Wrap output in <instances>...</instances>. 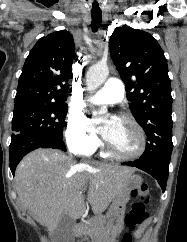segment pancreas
Here are the masks:
<instances>
[{
  "instance_id": "pancreas-1",
  "label": "pancreas",
  "mask_w": 187,
  "mask_h": 242,
  "mask_svg": "<svg viewBox=\"0 0 187 242\" xmlns=\"http://www.w3.org/2000/svg\"><path fill=\"white\" fill-rule=\"evenodd\" d=\"M105 222L106 220L102 217H95L85 221V223L83 224V232H82L84 235L83 240H88V236L94 231V229L96 227H103Z\"/></svg>"
}]
</instances>
